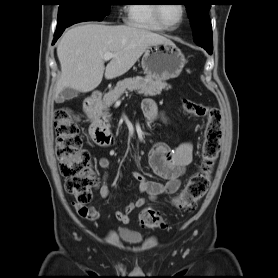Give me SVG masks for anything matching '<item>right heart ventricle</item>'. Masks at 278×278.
I'll return each mask as SVG.
<instances>
[{
	"mask_svg": "<svg viewBox=\"0 0 278 278\" xmlns=\"http://www.w3.org/2000/svg\"><path fill=\"white\" fill-rule=\"evenodd\" d=\"M153 7V4L147 3L130 4L127 8L129 24L152 31H163L154 18Z\"/></svg>",
	"mask_w": 278,
	"mask_h": 278,
	"instance_id": "e07e8e85",
	"label": "right heart ventricle"
}]
</instances>
